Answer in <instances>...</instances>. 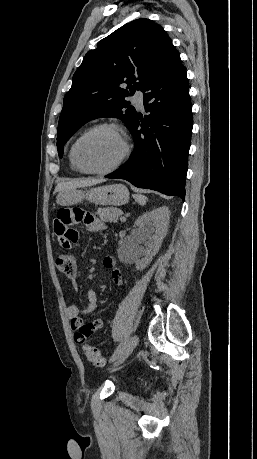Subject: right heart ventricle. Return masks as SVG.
I'll return each instance as SVG.
<instances>
[{"instance_id":"e07e8e85","label":"right heart ventricle","mask_w":257,"mask_h":459,"mask_svg":"<svg viewBox=\"0 0 257 459\" xmlns=\"http://www.w3.org/2000/svg\"><path fill=\"white\" fill-rule=\"evenodd\" d=\"M73 145H74V143H72V145L70 146L69 153H68L70 168H71L72 171H74L76 173H84L75 164V161H74V158H73V154H72Z\"/></svg>"}]
</instances>
